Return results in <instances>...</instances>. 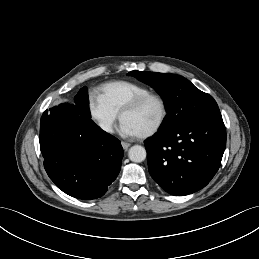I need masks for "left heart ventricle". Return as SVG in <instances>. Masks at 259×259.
I'll return each mask as SVG.
<instances>
[{
    "label": "left heart ventricle",
    "mask_w": 259,
    "mask_h": 259,
    "mask_svg": "<svg viewBox=\"0 0 259 259\" xmlns=\"http://www.w3.org/2000/svg\"><path fill=\"white\" fill-rule=\"evenodd\" d=\"M161 116L160 104L154 100H147L138 109L127 113L122 120L132 124L139 134L145 133L153 128Z\"/></svg>",
    "instance_id": "obj_1"
}]
</instances>
